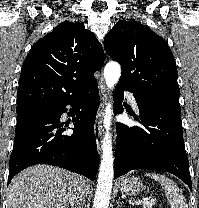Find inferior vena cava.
<instances>
[{"instance_id":"obj_1","label":"inferior vena cava","mask_w":199,"mask_h":208,"mask_svg":"<svg viewBox=\"0 0 199 208\" xmlns=\"http://www.w3.org/2000/svg\"><path fill=\"white\" fill-rule=\"evenodd\" d=\"M85 201L84 192L81 186H77L74 195L70 200L71 208H81Z\"/></svg>"}]
</instances>
